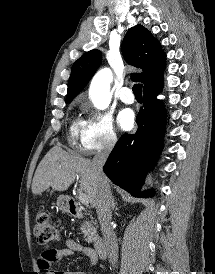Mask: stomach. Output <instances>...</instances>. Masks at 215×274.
Listing matches in <instances>:
<instances>
[{"label": "stomach", "mask_w": 215, "mask_h": 274, "mask_svg": "<svg viewBox=\"0 0 215 274\" xmlns=\"http://www.w3.org/2000/svg\"><path fill=\"white\" fill-rule=\"evenodd\" d=\"M66 200H67V197L63 196V195L59 196L57 199V205H58L59 209L62 211L68 210Z\"/></svg>", "instance_id": "stomach-1"}]
</instances>
